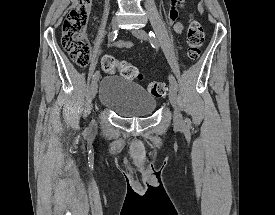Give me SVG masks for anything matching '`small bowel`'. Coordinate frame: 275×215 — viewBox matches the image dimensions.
Listing matches in <instances>:
<instances>
[{"instance_id": "1", "label": "small bowel", "mask_w": 275, "mask_h": 215, "mask_svg": "<svg viewBox=\"0 0 275 215\" xmlns=\"http://www.w3.org/2000/svg\"><path fill=\"white\" fill-rule=\"evenodd\" d=\"M185 0H171L172 8L169 11V23L174 22L178 18V10H177V5L178 4H183ZM201 3L198 4V9H202ZM184 29V24L183 23H175L174 24V33L179 34L183 31ZM133 42L131 41H123L119 40L116 41L112 46L117 47V48H132L133 47ZM102 54V50L98 51V55Z\"/></svg>"}]
</instances>
